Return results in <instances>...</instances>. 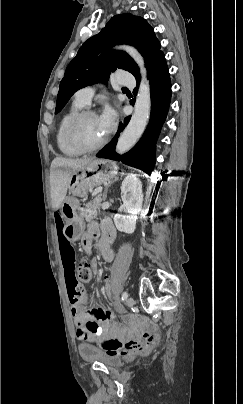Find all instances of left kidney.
I'll list each match as a JSON object with an SVG mask.
<instances>
[{
    "label": "left kidney",
    "mask_w": 243,
    "mask_h": 404,
    "mask_svg": "<svg viewBox=\"0 0 243 404\" xmlns=\"http://www.w3.org/2000/svg\"><path fill=\"white\" fill-rule=\"evenodd\" d=\"M121 198L123 206H120L119 212L124 214H115L114 224L119 232L133 234L138 220L137 214L141 212L143 204L142 182L136 174H128L123 180Z\"/></svg>",
    "instance_id": "obj_1"
}]
</instances>
